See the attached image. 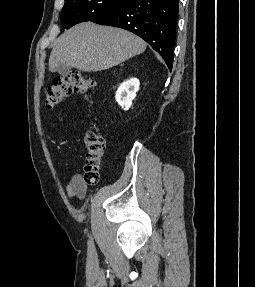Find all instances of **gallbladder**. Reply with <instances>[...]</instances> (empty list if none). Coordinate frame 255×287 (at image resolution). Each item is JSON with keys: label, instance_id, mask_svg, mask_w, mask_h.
<instances>
[{"label": "gallbladder", "instance_id": "bac80fb5", "mask_svg": "<svg viewBox=\"0 0 255 287\" xmlns=\"http://www.w3.org/2000/svg\"><path fill=\"white\" fill-rule=\"evenodd\" d=\"M71 70H72L71 66H57L54 72H58V74H61L63 78H66V76L70 74Z\"/></svg>", "mask_w": 255, "mask_h": 287}]
</instances>
